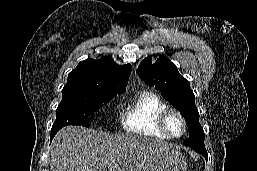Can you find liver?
<instances>
[{
	"label": "liver",
	"instance_id": "liver-1",
	"mask_svg": "<svg viewBox=\"0 0 257 171\" xmlns=\"http://www.w3.org/2000/svg\"><path fill=\"white\" fill-rule=\"evenodd\" d=\"M172 148L157 139L67 126L53 139L50 166L51 171H139L149 152Z\"/></svg>",
	"mask_w": 257,
	"mask_h": 171
}]
</instances>
